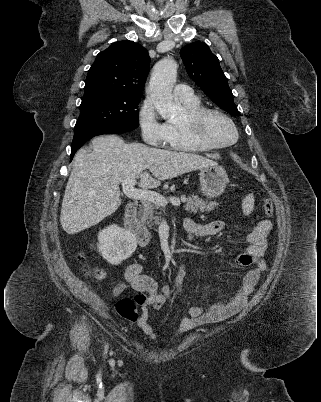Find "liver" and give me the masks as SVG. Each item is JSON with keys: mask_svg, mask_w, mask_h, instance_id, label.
<instances>
[{"mask_svg": "<svg viewBox=\"0 0 321 402\" xmlns=\"http://www.w3.org/2000/svg\"><path fill=\"white\" fill-rule=\"evenodd\" d=\"M215 165L193 153L127 144L117 135L96 137L91 152L82 148L75 155L62 202V228L73 235L113 214L121 204L122 180L140 179L139 187L155 188L162 180Z\"/></svg>", "mask_w": 321, "mask_h": 402, "instance_id": "liver-1", "label": "liver"}]
</instances>
